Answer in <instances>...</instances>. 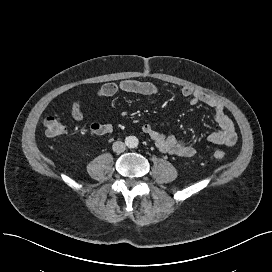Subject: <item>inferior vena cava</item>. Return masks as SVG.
Listing matches in <instances>:
<instances>
[{
    "mask_svg": "<svg viewBox=\"0 0 272 272\" xmlns=\"http://www.w3.org/2000/svg\"><path fill=\"white\" fill-rule=\"evenodd\" d=\"M112 148H113L114 152L121 153V152L125 151L126 145L122 141H116L113 143Z\"/></svg>",
    "mask_w": 272,
    "mask_h": 272,
    "instance_id": "602c4592",
    "label": "inferior vena cava"
}]
</instances>
